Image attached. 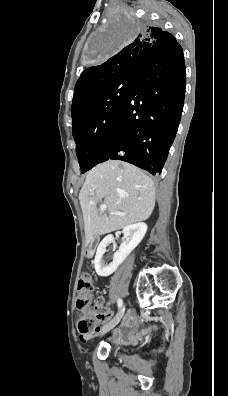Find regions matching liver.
Returning <instances> with one entry per match:
<instances>
[{
    "label": "liver",
    "mask_w": 228,
    "mask_h": 396,
    "mask_svg": "<svg viewBox=\"0 0 228 396\" xmlns=\"http://www.w3.org/2000/svg\"><path fill=\"white\" fill-rule=\"evenodd\" d=\"M86 244L96 236L147 220L155 206L154 182L127 162L109 160L92 168L79 193ZM107 212L99 213L98 202ZM122 212L125 215H111Z\"/></svg>",
    "instance_id": "obj_1"
}]
</instances>
